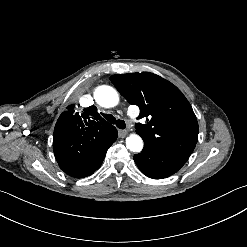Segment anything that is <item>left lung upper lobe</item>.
<instances>
[{"instance_id": "obj_1", "label": "left lung upper lobe", "mask_w": 247, "mask_h": 247, "mask_svg": "<svg viewBox=\"0 0 247 247\" xmlns=\"http://www.w3.org/2000/svg\"><path fill=\"white\" fill-rule=\"evenodd\" d=\"M111 82L130 104L140 108L136 133L144 143L187 161L198 139V122L182 92L149 72L113 75Z\"/></svg>"}]
</instances>
